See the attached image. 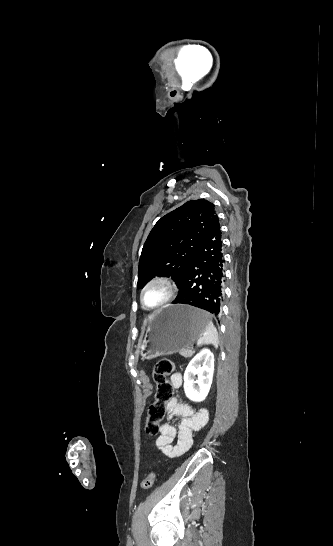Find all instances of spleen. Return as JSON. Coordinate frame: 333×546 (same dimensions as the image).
Masks as SVG:
<instances>
[{"mask_svg":"<svg viewBox=\"0 0 333 546\" xmlns=\"http://www.w3.org/2000/svg\"><path fill=\"white\" fill-rule=\"evenodd\" d=\"M213 345L216 349L219 345L218 332L209 316V321L206 325L205 333L198 339L197 346L201 345Z\"/></svg>","mask_w":333,"mask_h":546,"instance_id":"spleen-1","label":"spleen"}]
</instances>
